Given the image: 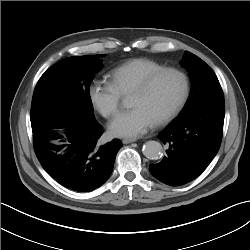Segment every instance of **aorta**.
<instances>
[{
    "mask_svg": "<svg viewBox=\"0 0 250 250\" xmlns=\"http://www.w3.org/2000/svg\"><path fill=\"white\" fill-rule=\"evenodd\" d=\"M143 154L150 160L160 159L163 155V147L157 141H147L143 146Z\"/></svg>",
    "mask_w": 250,
    "mask_h": 250,
    "instance_id": "obj_1",
    "label": "aorta"
}]
</instances>
